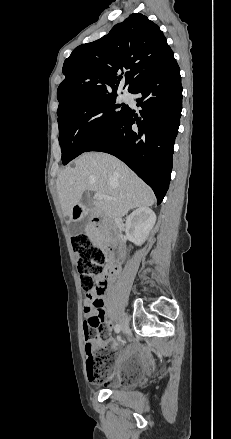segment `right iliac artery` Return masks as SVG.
<instances>
[{
    "mask_svg": "<svg viewBox=\"0 0 231 439\" xmlns=\"http://www.w3.org/2000/svg\"><path fill=\"white\" fill-rule=\"evenodd\" d=\"M114 329H115V332H116V333H119L120 330H121L120 325H119V324H116Z\"/></svg>",
    "mask_w": 231,
    "mask_h": 439,
    "instance_id": "82829eb1",
    "label": "right iliac artery"
}]
</instances>
